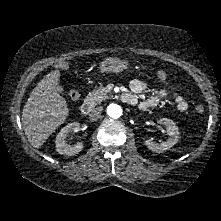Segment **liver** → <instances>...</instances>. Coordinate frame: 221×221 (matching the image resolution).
Returning a JSON list of instances; mask_svg holds the SVG:
<instances>
[{
  "label": "liver",
  "instance_id": "6515ba94",
  "mask_svg": "<svg viewBox=\"0 0 221 221\" xmlns=\"http://www.w3.org/2000/svg\"><path fill=\"white\" fill-rule=\"evenodd\" d=\"M60 71L48 73L33 89L22 111V124L29 143L39 148L66 120L67 103L60 96Z\"/></svg>",
  "mask_w": 221,
  "mask_h": 221
}]
</instances>
